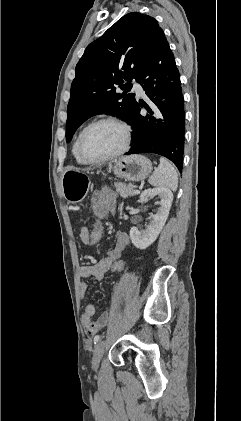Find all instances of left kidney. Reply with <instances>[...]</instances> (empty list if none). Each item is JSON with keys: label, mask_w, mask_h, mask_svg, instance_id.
I'll list each match as a JSON object with an SVG mask.
<instances>
[{"label": "left kidney", "mask_w": 241, "mask_h": 421, "mask_svg": "<svg viewBox=\"0 0 241 421\" xmlns=\"http://www.w3.org/2000/svg\"><path fill=\"white\" fill-rule=\"evenodd\" d=\"M157 195L160 198V201L157 202L159 209L156 214L150 216V223L146 230L140 231L136 227L130 229L131 242L138 249H146L157 239L168 218L173 201V193L170 189L159 187L144 190L140 195V201L146 202L149 198Z\"/></svg>", "instance_id": "obj_1"}]
</instances>
